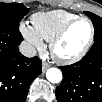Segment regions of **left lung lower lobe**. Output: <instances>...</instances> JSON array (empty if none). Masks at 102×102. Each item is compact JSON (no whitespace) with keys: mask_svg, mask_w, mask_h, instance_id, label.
Masks as SVG:
<instances>
[{"mask_svg":"<svg viewBox=\"0 0 102 102\" xmlns=\"http://www.w3.org/2000/svg\"><path fill=\"white\" fill-rule=\"evenodd\" d=\"M58 102H102V39L77 63L61 67Z\"/></svg>","mask_w":102,"mask_h":102,"instance_id":"1","label":"left lung lower lobe"}]
</instances>
